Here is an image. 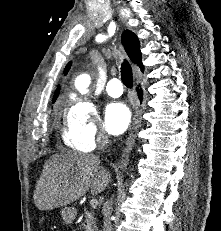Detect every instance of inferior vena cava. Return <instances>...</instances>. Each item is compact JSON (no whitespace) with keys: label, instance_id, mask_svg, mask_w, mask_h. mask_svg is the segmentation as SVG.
<instances>
[{"label":"inferior vena cava","instance_id":"1","mask_svg":"<svg viewBox=\"0 0 221 231\" xmlns=\"http://www.w3.org/2000/svg\"><path fill=\"white\" fill-rule=\"evenodd\" d=\"M109 144V137L107 134L102 133L99 136L98 145L101 150L104 151V149ZM111 211H112V202L110 200H106L103 204V213H104V225L102 231H112V225H111Z\"/></svg>","mask_w":221,"mask_h":231}]
</instances>
